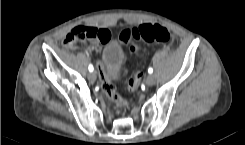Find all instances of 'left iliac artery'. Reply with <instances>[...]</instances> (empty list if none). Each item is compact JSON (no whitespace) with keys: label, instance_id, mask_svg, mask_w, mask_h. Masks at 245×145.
<instances>
[{"label":"left iliac artery","instance_id":"44dca946","mask_svg":"<svg viewBox=\"0 0 245 145\" xmlns=\"http://www.w3.org/2000/svg\"><path fill=\"white\" fill-rule=\"evenodd\" d=\"M148 73H149V74H152V73H153V68L150 67V68L148 69Z\"/></svg>","mask_w":245,"mask_h":145}]
</instances>
